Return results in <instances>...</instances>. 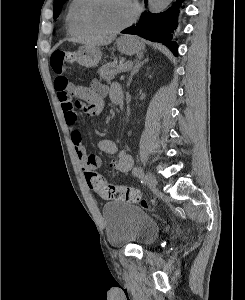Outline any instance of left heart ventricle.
<instances>
[{"label":"left heart ventricle","instance_id":"left-heart-ventricle-1","mask_svg":"<svg viewBox=\"0 0 245 300\" xmlns=\"http://www.w3.org/2000/svg\"><path fill=\"white\" fill-rule=\"evenodd\" d=\"M132 13L129 0H96L90 10V20L99 28L114 29L127 22Z\"/></svg>","mask_w":245,"mask_h":300}]
</instances>
